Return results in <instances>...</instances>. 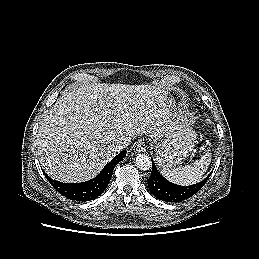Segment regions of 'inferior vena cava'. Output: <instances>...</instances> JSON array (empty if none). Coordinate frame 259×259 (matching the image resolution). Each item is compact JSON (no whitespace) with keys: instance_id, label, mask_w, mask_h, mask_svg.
Masks as SVG:
<instances>
[{"instance_id":"1","label":"inferior vena cava","mask_w":259,"mask_h":259,"mask_svg":"<svg viewBox=\"0 0 259 259\" xmlns=\"http://www.w3.org/2000/svg\"><path fill=\"white\" fill-rule=\"evenodd\" d=\"M129 144H130L129 140H124V141L115 143L114 148L116 149V151H121L122 149L127 147Z\"/></svg>"}]
</instances>
